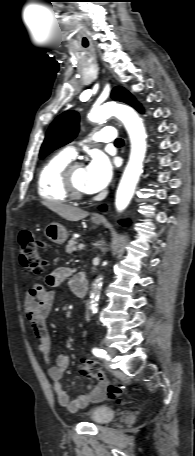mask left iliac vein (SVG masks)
Returning a JSON list of instances; mask_svg holds the SVG:
<instances>
[{
    "mask_svg": "<svg viewBox=\"0 0 195 456\" xmlns=\"http://www.w3.org/2000/svg\"><path fill=\"white\" fill-rule=\"evenodd\" d=\"M106 351L108 355V360L116 355V351L113 348H107Z\"/></svg>",
    "mask_w": 195,
    "mask_h": 456,
    "instance_id": "4c4485c4",
    "label": "left iliac vein"
}]
</instances>
